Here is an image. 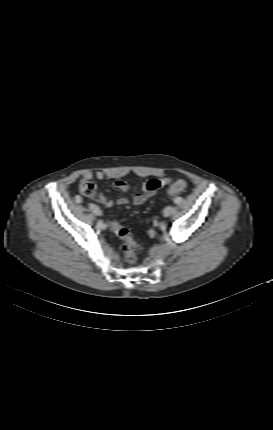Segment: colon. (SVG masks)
Returning a JSON list of instances; mask_svg holds the SVG:
<instances>
[{"mask_svg":"<svg viewBox=\"0 0 273 430\" xmlns=\"http://www.w3.org/2000/svg\"><path fill=\"white\" fill-rule=\"evenodd\" d=\"M185 188L186 183L183 180L174 181L167 190L168 199H174ZM79 191L85 196H92L96 191V186L90 180L83 179L79 184ZM111 229L119 238L124 241L122 250L126 262L129 264H135L137 261L138 246L134 241L131 232L115 221L111 223Z\"/></svg>","mask_w":273,"mask_h":430,"instance_id":"5ec220e1","label":"colon"}]
</instances>
